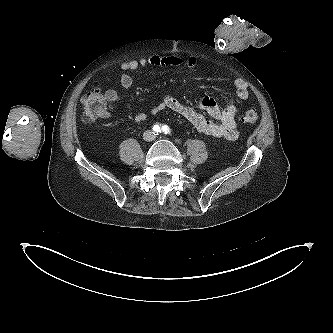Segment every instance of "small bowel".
<instances>
[{
  "instance_id": "c3829d8e",
  "label": "small bowel",
  "mask_w": 333,
  "mask_h": 333,
  "mask_svg": "<svg viewBox=\"0 0 333 333\" xmlns=\"http://www.w3.org/2000/svg\"><path fill=\"white\" fill-rule=\"evenodd\" d=\"M196 64L197 61L195 58L182 59L175 56L163 57L153 55L148 58L129 60L120 65L123 71L120 76V85L123 91H129L133 85V78L128 72L143 69L147 66H172L189 72L195 68ZM234 86L235 94L226 98L223 108L212 97H203L195 106H189L167 93L163 96L161 102L152 107L148 112L136 114L134 121L141 123L150 116L157 115L164 110H171L189 121L200 133L233 141L238 137L236 116L239 111V105L249 97L247 84L243 80L236 79ZM104 98L107 102L113 103L120 101L122 95L115 89H108L104 92ZM198 110L206 112L212 120L206 118Z\"/></svg>"
}]
</instances>
